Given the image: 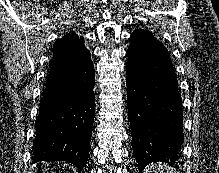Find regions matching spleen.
I'll list each match as a JSON object with an SVG mask.
<instances>
[{"label":"spleen","instance_id":"1","mask_svg":"<svg viewBox=\"0 0 219 173\" xmlns=\"http://www.w3.org/2000/svg\"><path fill=\"white\" fill-rule=\"evenodd\" d=\"M153 170L155 173H176V172H173V169L170 168L169 166L165 165V164H156V165H153Z\"/></svg>","mask_w":219,"mask_h":173}]
</instances>
